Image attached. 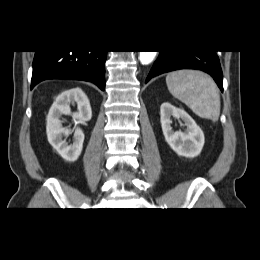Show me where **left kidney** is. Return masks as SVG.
Listing matches in <instances>:
<instances>
[{"label":"left kidney","instance_id":"5707ae66","mask_svg":"<svg viewBox=\"0 0 260 260\" xmlns=\"http://www.w3.org/2000/svg\"><path fill=\"white\" fill-rule=\"evenodd\" d=\"M172 116L184 122V132L172 129ZM160 120L165 140L174 152L187 158H194L201 153L205 142L204 133L188 113L164 102L160 107Z\"/></svg>","mask_w":260,"mask_h":260}]
</instances>
